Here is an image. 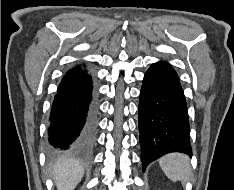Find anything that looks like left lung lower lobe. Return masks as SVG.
<instances>
[{
	"label": "left lung lower lobe",
	"mask_w": 234,
	"mask_h": 190,
	"mask_svg": "<svg viewBox=\"0 0 234 190\" xmlns=\"http://www.w3.org/2000/svg\"><path fill=\"white\" fill-rule=\"evenodd\" d=\"M139 133L143 170L170 152L192 156L184 92L176 71L168 62L152 64L144 75Z\"/></svg>",
	"instance_id": "1"
}]
</instances>
